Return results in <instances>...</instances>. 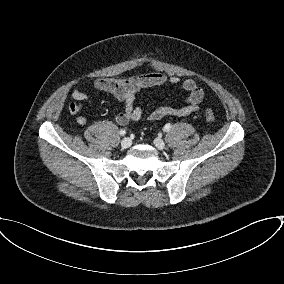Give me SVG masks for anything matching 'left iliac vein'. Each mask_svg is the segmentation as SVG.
<instances>
[{"mask_svg":"<svg viewBox=\"0 0 284 284\" xmlns=\"http://www.w3.org/2000/svg\"><path fill=\"white\" fill-rule=\"evenodd\" d=\"M154 145L160 150L165 148V142L160 138L154 140Z\"/></svg>","mask_w":284,"mask_h":284,"instance_id":"left-iliac-vein-1","label":"left iliac vein"}]
</instances>
